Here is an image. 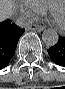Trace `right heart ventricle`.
<instances>
[{"instance_id":"obj_1","label":"right heart ventricle","mask_w":65,"mask_h":89,"mask_svg":"<svg viewBox=\"0 0 65 89\" xmlns=\"http://www.w3.org/2000/svg\"><path fill=\"white\" fill-rule=\"evenodd\" d=\"M57 0H29L28 2L40 13L48 11L49 6Z\"/></svg>"}]
</instances>
